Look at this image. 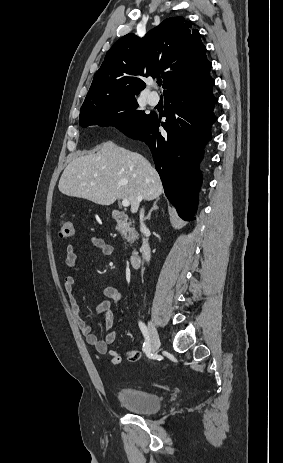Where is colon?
I'll return each instance as SVG.
<instances>
[{"label":"colon","mask_w":283,"mask_h":463,"mask_svg":"<svg viewBox=\"0 0 283 463\" xmlns=\"http://www.w3.org/2000/svg\"><path fill=\"white\" fill-rule=\"evenodd\" d=\"M59 237L62 239H68L74 235V226L70 219H63L59 225Z\"/></svg>","instance_id":"5ec220e1"}]
</instances>
